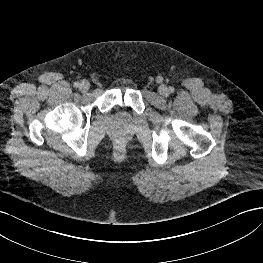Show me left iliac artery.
<instances>
[{
    "instance_id": "left-iliac-artery-1",
    "label": "left iliac artery",
    "mask_w": 263,
    "mask_h": 263,
    "mask_svg": "<svg viewBox=\"0 0 263 263\" xmlns=\"http://www.w3.org/2000/svg\"><path fill=\"white\" fill-rule=\"evenodd\" d=\"M169 91H170L171 93H173V92H174V88H173V87H169Z\"/></svg>"
}]
</instances>
